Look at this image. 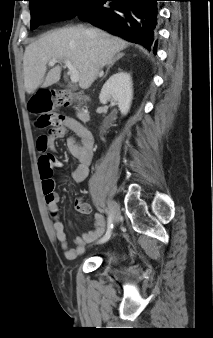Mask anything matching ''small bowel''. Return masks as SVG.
I'll return each instance as SVG.
<instances>
[{
    "instance_id": "1",
    "label": "small bowel",
    "mask_w": 213,
    "mask_h": 338,
    "mask_svg": "<svg viewBox=\"0 0 213 338\" xmlns=\"http://www.w3.org/2000/svg\"><path fill=\"white\" fill-rule=\"evenodd\" d=\"M68 131L74 136L68 141V150L71 155L78 160V166L73 171V178L77 182L86 180L93 154L94 138L91 132L81 122L72 117H66L63 125L54 128L49 134L37 137L36 145L39 154L38 168L42 180L47 177L53 181L52 170L61 166V162L54 155V144L57 139L62 138ZM75 137L78 138V141ZM44 195L47 210L52 218L54 236L62 247L66 259L75 260L85 252L88 244L104 234L106 230L104 217L100 213L96 214L93 229L83 233L81 237L75 240V246L70 247L64 223L60 220V195L54 189L49 193L44 192ZM75 207L82 213L87 214L90 212V206L81 199H76Z\"/></svg>"
}]
</instances>
